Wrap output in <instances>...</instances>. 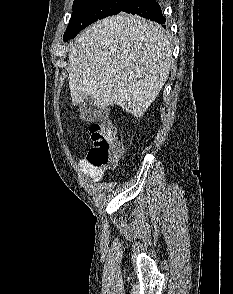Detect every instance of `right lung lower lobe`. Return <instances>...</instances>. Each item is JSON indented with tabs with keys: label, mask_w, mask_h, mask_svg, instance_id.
Returning a JSON list of instances; mask_svg holds the SVG:
<instances>
[{
	"label": "right lung lower lobe",
	"mask_w": 233,
	"mask_h": 294,
	"mask_svg": "<svg viewBox=\"0 0 233 294\" xmlns=\"http://www.w3.org/2000/svg\"><path fill=\"white\" fill-rule=\"evenodd\" d=\"M121 11L137 14L159 24H164L166 21L159 4L155 0H129Z\"/></svg>",
	"instance_id": "right-lung-lower-lobe-1"
}]
</instances>
